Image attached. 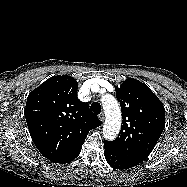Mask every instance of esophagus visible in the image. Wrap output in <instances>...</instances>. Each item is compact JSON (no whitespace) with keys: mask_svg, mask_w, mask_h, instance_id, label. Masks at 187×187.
I'll return each mask as SVG.
<instances>
[{"mask_svg":"<svg viewBox=\"0 0 187 187\" xmlns=\"http://www.w3.org/2000/svg\"><path fill=\"white\" fill-rule=\"evenodd\" d=\"M98 117H99V120L102 121V122L105 120L104 113H100Z\"/></svg>","mask_w":187,"mask_h":187,"instance_id":"34e87169","label":"esophagus"}]
</instances>
